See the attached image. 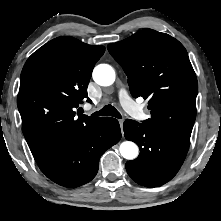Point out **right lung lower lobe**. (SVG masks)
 <instances>
[{"mask_svg":"<svg viewBox=\"0 0 221 221\" xmlns=\"http://www.w3.org/2000/svg\"><path fill=\"white\" fill-rule=\"evenodd\" d=\"M120 138L118 121L110 117L100 118L38 166L55 183L69 188L79 187L95 177L101 155Z\"/></svg>","mask_w":221,"mask_h":221,"instance_id":"98d812e1","label":"right lung lower lobe"}]
</instances>
